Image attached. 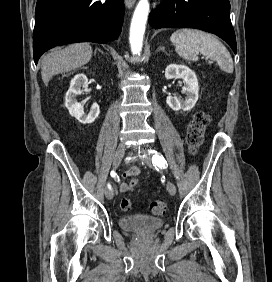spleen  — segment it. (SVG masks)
Wrapping results in <instances>:
<instances>
[{"instance_id": "spleen-1", "label": "spleen", "mask_w": 272, "mask_h": 282, "mask_svg": "<svg viewBox=\"0 0 272 282\" xmlns=\"http://www.w3.org/2000/svg\"><path fill=\"white\" fill-rule=\"evenodd\" d=\"M177 54L188 60L197 61V54L217 61L220 69L232 73L233 60L226 47L214 36L195 29H180L170 37Z\"/></svg>"}]
</instances>
